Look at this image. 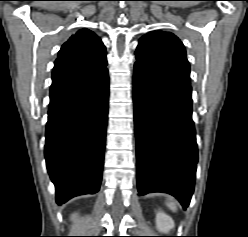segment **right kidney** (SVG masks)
<instances>
[{
    "label": "right kidney",
    "instance_id": "ca27d5eb",
    "mask_svg": "<svg viewBox=\"0 0 248 237\" xmlns=\"http://www.w3.org/2000/svg\"><path fill=\"white\" fill-rule=\"evenodd\" d=\"M76 218V214H73L72 215V219L74 220Z\"/></svg>",
    "mask_w": 248,
    "mask_h": 237
}]
</instances>
